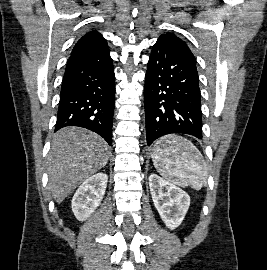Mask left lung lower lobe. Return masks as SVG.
<instances>
[{"label":"left lung lower lobe","mask_w":267,"mask_h":270,"mask_svg":"<svg viewBox=\"0 0 267 270\" xmlns=\"http://www.w3.org/2000/svg\"><path fill=\"white\" fill-rule=\"evenodd\" d=\"M196 62L178 48L157 41L146 72V139L151 146L167 134L202 139V112Z\"/></svg>","instance_id":"0a47b994"}]
</instances>
